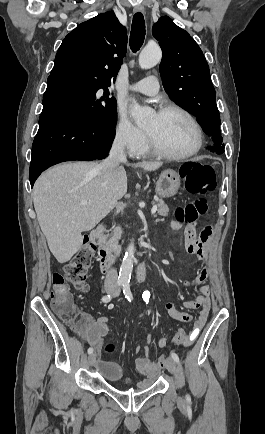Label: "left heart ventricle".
Instances as JSON below:
<instances>
[{
	"label": "left heart ventricle",
	"instance_id": "b2bd125f",
	"mask_svg": "<svg viewBox=\"0 0 265 434\" xmlns=\"http://www.w3.org/2000/svg\"><path fill=\"white\" fill-rule=\"evenodd\" d=\"M153 142L163 151L181 154L195 144V131L182 113L171 111L166 114H154L145 125Z\"/></svg>",
	"mask_w": 265,
	"mask_h": 434
}]
</instances>
